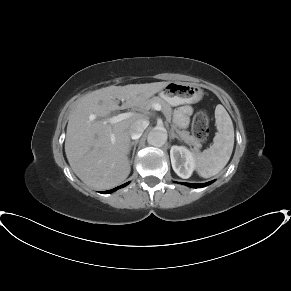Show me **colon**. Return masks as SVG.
<instances>
[{
  "label": "colon",
  "instance_id": "1",
  "mask_svg": "<svg viewBox=\"0 0 291 291\" xmlns=\"http://www.w3.org/2000/svg\"><path fill=\"white\" fill-rule=\"evenodd\" d=\"M192 130L195 138L199 142H205L207 140L209 130V116L206 112L200 111L195 115L193 119Z\"/></svg>",
  "mask_w": 291,
  "mask_h": 291
}]
</instances>
